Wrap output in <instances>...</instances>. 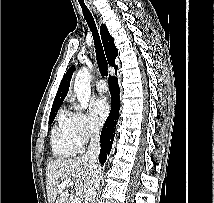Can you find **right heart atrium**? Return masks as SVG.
Here are the masks:
<instances>
[{
    "label": "right heart atrium",
    "instance_id": "d8ad5b80",
    "mask_svg": "<svg viewBox=\"0 0 214 203\" xmlns=\"http://www.w3.org/2000/svg\"><path fill=\"white\" fill-rule=\"evenodd\" d=\"M62 118L74 139L82 146L99 133L98 126L81 111L63 112Z\"/></svg>",
    "mask_w": 214,
    "mask_h": 203
}]
</instances>
